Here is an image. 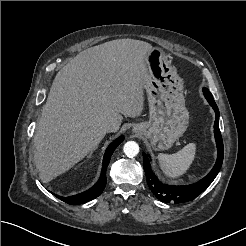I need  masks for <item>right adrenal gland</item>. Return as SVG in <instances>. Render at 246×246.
Listing matches in <instances>:
<instances>
[{"label":"right adrenal gland","mask_w":246,"mask_h":246,"mask_svg":"<svg viewBox=\"0 0 246 246\" xmlns=\"http://www.w3.org/2000/svg\"><path fill=\"white\" fill-rule=\"evenodd\" d=\"M96 149H97V146H96L93 150H96ZM93 150L90 152L89 157H91V156H92V154H93Z\"/></svg>","instance_id":"1"}]
</instances>
